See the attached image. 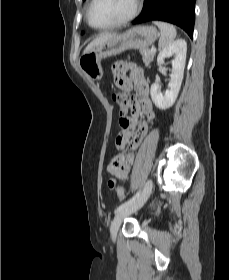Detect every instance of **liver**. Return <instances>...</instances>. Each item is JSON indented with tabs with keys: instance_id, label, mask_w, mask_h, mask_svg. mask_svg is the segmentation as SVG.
<instances>
[{
	"instance_id": "liver-1",
	"label": "liver",
	"mask_w": 229,
	"mask_h": 280,
	"mask_svg": "<svg viewBox=\"0 0 229 280\" xmlns=\"http://www.w3.org/2000/svg\"><path fill=\"white\" fill-rule=\"evenodd\" d=\"M116 33L106 32L101 35H99L96 39H94L92 42H90L87 47L84 49L83 54L90 51L94 47L106 42L110 38L114 37Z\"/></svg>"
}]
</instances>
